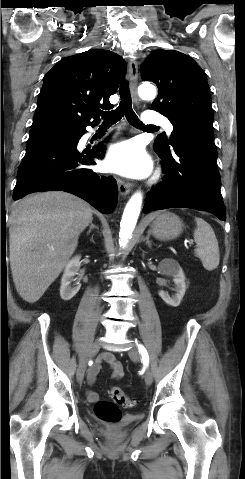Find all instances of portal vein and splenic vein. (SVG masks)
I'll return each instance as SVG.
<instances>
[{
    "label": "portal vein and splenic vein",
    "mask_w": 245,
    "mask_h": 479,
    "mask_svg": "<svg viewBox=\"0 0 245 479\" xmlns=\"http://www.w3.org/2000/svg\"><path fill=\"white\" fill-rule=\"evenodd\" d=\"M188 243H189L190 245H192V244H193V242H192V241H189Z\"/></svg>",
    "instance_id": "18ae733b"
}]
</instances>
